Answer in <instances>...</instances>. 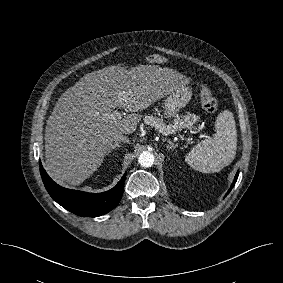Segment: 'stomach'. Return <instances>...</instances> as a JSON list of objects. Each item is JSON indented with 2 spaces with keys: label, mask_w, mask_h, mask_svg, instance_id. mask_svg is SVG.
<instances>
[{
  "label": "stomach",
  "mask_w": 283,
  "mask_h": 283,
  "mask_svg": "<svg viewBox=\"0 0 283 283\" xmlns=\"http://www.w3.org/2000/svg\"><path fill=\"white\" fill-rule=\"evenodd\" d=\"M186 83V81H181L165 99L164 113L167 118L175 117L177 113L190 101L192 91Z\"/></svg>",
  "instance_id": "stomach-1"
}]
</instances>
